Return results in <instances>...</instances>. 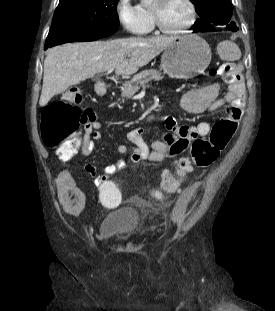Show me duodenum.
I'll list each match as a JSON object with an SVG mask.
<instances>
[{
  "label": "duodenum",
  "instance_id": "obj_1",
  "mask_svg": "<svg viewBox=\"0 0 275 311\" xmlns=\"http://www.w3.org/2000/svg\"><path fill=\"white\" fill-rule=\"evenodd\" d=\"M108 89V85L106 82L100 81L97 82L96 86H95V91L97 93V95L99 96H104L106 94V91ZM71 93V92H69Z\"/></svg>",
  "mask_w": 275,
  "mask_h": 311
}]
</instances>
